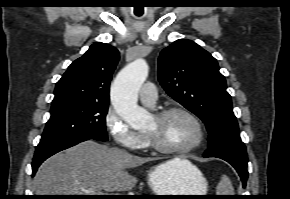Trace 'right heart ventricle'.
<instances>
[{"label":"right heart ventricle","instance_id":"obj_1","mask_svg":"<svg viewBox=\"0 0 290 199\" xmlns=\"http://www.w3.org/2000/svg\"><path fill=\"white\" fill-rule=\"evenodd\" d=\"M148 147H149L148 141L146 137H144V141H143L141 149H147Z\"/></svg>","mask_w":290,"mask_h":199}]
</instances>
